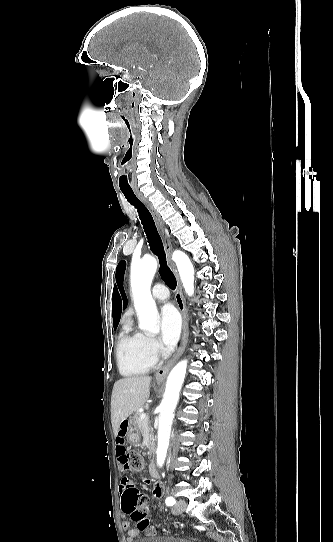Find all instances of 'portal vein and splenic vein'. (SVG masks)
Returning <instances> with one entry per match:
<instances>
[{
  "label": "portal vein and splenic vein",
  "instance_id": "18ae733b",
  "mask_svg": "<svg viewBox=\"0 0 333 542\" xmlns=\"http://www.w3.org/2000/svg\"><path fill=\"white\" fill-rule=\"evenodd\" d=\"M144 418H147V414H142L141 420H144Z\"/></svg>",
  "mask_w": 333,
  "mask_h": 542
}]
</instances>
